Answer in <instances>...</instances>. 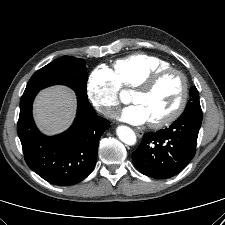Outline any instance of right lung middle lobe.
Masks as SVG:
<instances>
[{
    "label": "right lung middle lobe",
    "mask_w": 225,
    "mask_h": 225,
    "mask_svg": "<svg viewBox=\"0 0 225 225\" xmlns=\"http://www.w3.org/2000/svg\"><path fill=\"white\" fill-rule=\"evenodd\" d=\"M87 68L83 59L64 56L39 69L30 78L23 94L63 84L71 87L77 97L88 100L87 97Z\"/></svg>",
    "instance_id": "dd1d6c3e"
}]
</instances>
